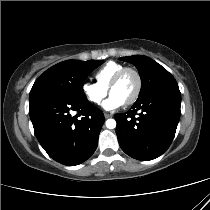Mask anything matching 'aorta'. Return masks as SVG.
Instances as JSON below:
<instances>
[{"label":"aorta","mask_w":210,"mask_h":210,"mask_svg":"<svg viewBox=\"0 0 210 210\" xmlns=\"http://www.w3.org/2000/svg\"><path fill=\"white\" fill-rule=\"evenodd\" d=\"M106 127L108 129H114L116 127V121L114 119H108L106 121Z\"/></svg>","instance_id":"1"}]
</instances>
